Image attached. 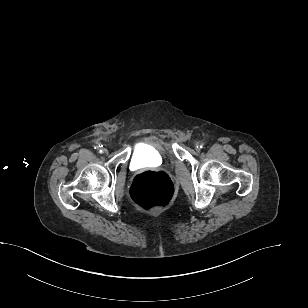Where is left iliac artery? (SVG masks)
<instances>
[{
	"label": "left iliac artery",
	"instance_id": "1",
	"mask_svg": "<svg viewBox=\"0 0 308 308\" xmlns=\"http://www.w3.org/2000/svg\"><path fill=\"white\" fill-rule=\"evenodd\" d=\"M199 147H200V148H203V147H204V143H200V144H199Z\"/></svg>",
	"mask_w": 308,
	"mask_h": 308
}]
</instances>
